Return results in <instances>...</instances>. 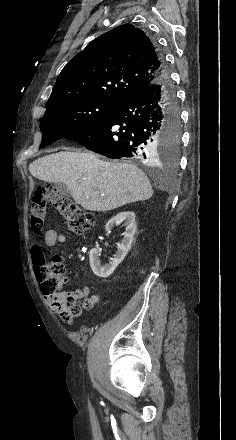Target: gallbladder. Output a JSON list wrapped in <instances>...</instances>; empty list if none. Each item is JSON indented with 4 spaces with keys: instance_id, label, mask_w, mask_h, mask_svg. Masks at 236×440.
<instances>
[{
    "instance_id": "1",
    "label": "gallbladder",
    "mask_w": 236,
    "mask_h": 440,
    "mask_svg": "<svg viewBox=\"0 0 236 440\" xmlns=\"http://www.w3.org/2000/svg\"><path fill=\"white\" fill-rule=\"evenodd\" d=\"M53 187L57 190V192L60 195H66V196L70 195L69 189L67 188L66 184H64L63 182H55L53 184Z\"/></svg>"
}]
</instances>
